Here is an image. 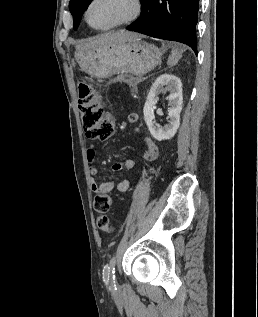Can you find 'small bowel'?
<instances>
[{"label": "small bowel", "mask_w": 258, "mask_h": 317, "mask_svg": "<svg viewBox=\"0 0 258 317\" xmlns=\"http://www.w3.org/2000/svg\"><path fill=\"white\" fill-rule=\"evenodd\" d=\"M137 121H138L137 114L129 115V117H128L129 124L135 126ZM135 130L137 132H139L138 128H135ZM140 138H141V142H142V145L144 148V152H143L144 159L148 162H154L158 158V155H159V150H158L156 143L154 142V140L151 137H149L145 134H142ZM87 159L89 162V172L91 175V179H90L91 190L97 194L110 193L115 187L114 182H112V181L99 182L95 178V176L99 172V168H98L96 161H95L96 149H95L94 144H91L87 149ZM134 165H135V163L132 159L125 158V159H123L122 162L114 164L113 170L117 172V171H120L121 169H125L126 171L130 172L133 170ZM150 172H153V169H150ZM129 187H130V181L127 179L120 181L116 186V188L119 192H126L129 189Z\"/></svg>", "instance_id": "small-bowel-1"}]
</instances>
